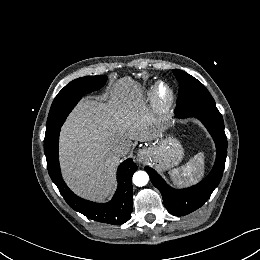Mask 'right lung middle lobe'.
<instances>
[{
	"label": "right lung middle lobe",
	"instance_id": "dd1d6c3e",
	"mask_svg": "<svg viewBox=\"0 0 260 260\" xmlns=\"http://www.w3.org/2000/svg\"><path fill=\"white\" fill-rule=\"evenodd\" d=\"M106 81L107 78L104 75L86 76L66 85L53 101L47 120L45 136H52L61 127L69 112L82 96L100 89Z\"/></svg>",
	"mask_w": 260,
	"mask_h": 260
}]
</instances>
